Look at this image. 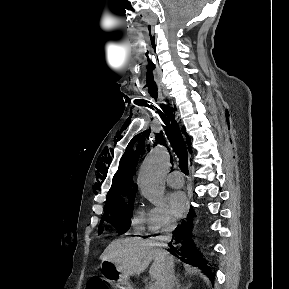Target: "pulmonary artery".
I'll return each instance as SVG.
<instances>
[{
    "instance_id": "obj_1",
    "label": "pulmonary artery",
    "mask_w": 289,
    "mask_h": 289,
    "mask_svg": "<svg viewBox=\"0 0 289 289\" xmlns=\"http://www.w3.org/2000/svg\"><path fill=\"white\" fill-rule=\"evenodd\" d=\"M166 183L173 188H180L184 184V179L179 171H173L167 175Z\"/></svg>"
}]
</instances>
